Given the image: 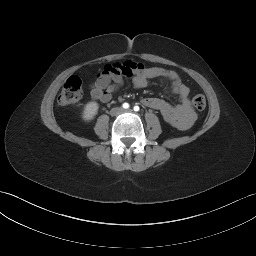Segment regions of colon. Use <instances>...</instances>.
<instances>
[{
	"label": "colon",
	"instance_id": "colon-1",
	"mask_svg": "<svg viewBox=\"0 0 256 256\" xmlns=\"http://www.w3.org/2000/svg\"><path fill=\"white\" fill-rule=\"evenodd\" d=\"M116 71V67L109 65L104 68L102 73L110 74ZM124 73H128L127 70H122ZM82 95V82L81 79L76 76H70L63 85L61 93L58 98V102L61 105H68L77 102ZM192 104L195 109L201 111L204 110L207 104L206 97L203 94H196L192 98Z\"/></svg>",
	"mask_w": 256,
	"mask_h": 256
}]
</instances>
